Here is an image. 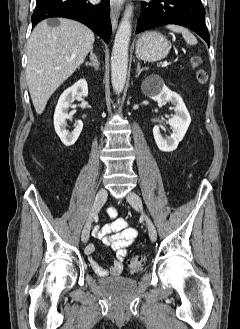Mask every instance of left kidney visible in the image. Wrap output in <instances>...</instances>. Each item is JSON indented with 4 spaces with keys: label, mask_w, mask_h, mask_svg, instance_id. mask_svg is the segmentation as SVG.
Here are the masks:
<instances>
[{
    "label": "left kidney",
    "mask_w": 240,
    "mask_h": 329,
    "mask_svg": "<svg viewBox=\"0 0 240 329\" xmlns=\"http://www.w3.org/2000/svg\"><path fill=\"white\" fill-rule=\"evenodd\" d=\"M150 83H155V86L153 88H148ZM142 90L148 97L157 101L159 104L171 102L175 105V114L169 120V125L172 129L170 137H164L160 132L159 126L153 127V136L158 148L164 152L174 151L179 142L183 139L191 123L190 114L182 98L166 87L163 79L159 75L147 77L142 84Z\"/></svg>",
    "instance_id": "left-kidney-1"
}]
</instances>
